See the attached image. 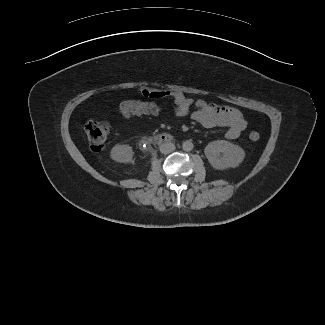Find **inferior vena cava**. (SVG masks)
Masks as SVG:
<instances>
[{
    "instance_id": "602c4592",
    "label": "inferior vena cava",
    "mask_w": 325,
    "mask_h": 325,
    "mask_svg": "<svg viewBox=\"0 0 325 325\" xmlns=\"http://www.w3.org/2000/svg\"><path fill=\"white\" fill-rule=\"evenodd\" d=\"M175 150V145L171 142L163 143L160 146V152L163 154H169Z\"/></svg>"
}]
</instances>
